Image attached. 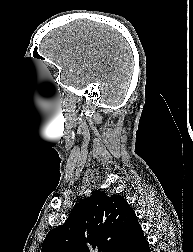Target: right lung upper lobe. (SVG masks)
<instances>
[{
  "mask_svg": "<svg viewBox=\"0 0 193 252\" xmlns=\"http://www.w3.org/2000/svg\"><path fill=\"white\" fill-rule=\"evenodd\" d=\"M141 229L126 200L96 190L47 234L41 252H121Z\"/></svg>",
  "mask_w": 193,
  "mask_h": 252,
  "instance_id": "obj_1",
  "label": "right lung upper lobe"
}]
</instances>
